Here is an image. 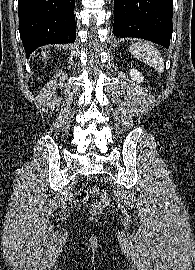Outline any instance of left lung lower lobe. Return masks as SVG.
<instances>
[{
    "label": "left lung lower lobe",
    "mask_w": 195,
    "mask_h": 270,
    "mask_svg": "<svg viewBox=\"0 0 195 270\" xmlns=\"http://www.w3.org/2000/svg\"><path fill=\"white\" fill-rule=\"evenodd\" d=\"M172 13V0H114L113 34L146 39L168 48Z\"/></svg>",
    "instance_id": "1"
}]
</instances>
